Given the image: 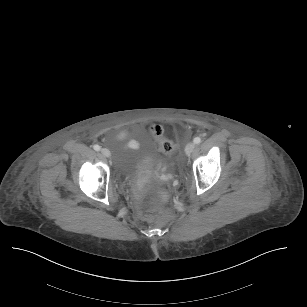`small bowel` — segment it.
<instances>
[{"mask_svg":"<svg viewBox=\"0 0 307 307\" xmlns=\"http://www.w3.org/2000/svg\"><path fill=\"white\" fill-rule=\"evenodd\" d=\"M127 137V132L126 131H121L119 134H118V138L119 139H124ZM138 143L134 140H131L127 143V146L130 147V148H135L137 147Z\"/></svg>","mask_w":307,"mask_h":307,"instance_id":"c3829d8e","label":"small bowel"}]
</instances>
